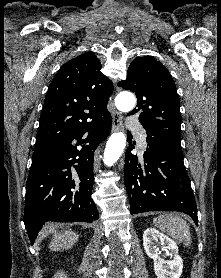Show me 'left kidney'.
<instances>
[{
  "instance_id": "left-kidney-1",
  "label": "left kidney",
  "mask_w": 221,
  "mask_h": 278,
  "mask_svg": "<svg viewBox=\"0 0 221 278\" xmlns=\"http://www.w3.org/2000/svg\"><path fill=\"white\" fill-rule=\"evenodd\" d=\"M157 243L168 251L171 260L161 257ZM143 246L148 257L154 260V272L157 278H180L183 260L178 254L177 244L171 238L154 228H148L143 234Z\"/></svg>"
}]
</instances>
